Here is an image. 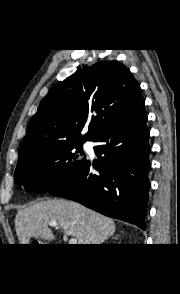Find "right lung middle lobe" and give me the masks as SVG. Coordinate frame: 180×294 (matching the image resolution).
Masks as SVG:
<instances>
[{
	"label": "right lung middle lobe",
	"mask_w": 180,
	"mask_h": 294,
	"mask_svg": "<svg viewBox=\"0 0 180 294\" xmlns=\"http://www.w3.org/2000/svg\"><path fill=\"white\" fill-rule=\"evenodd\" d=\"M83 142H71L38 150L18 162L14 179L30 192H49L70 180L87 161Z\"/></svg>",
	"instance_id": "1"
}]
</instances>
